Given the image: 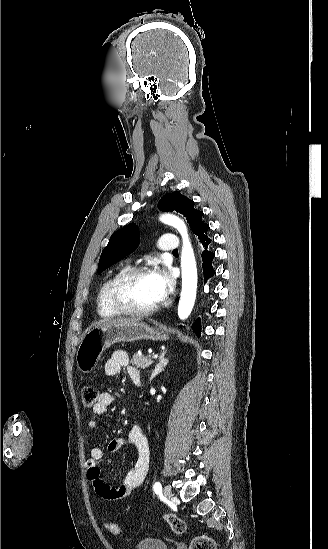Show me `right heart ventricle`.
<instances>
[{"label":"right heart ventricle","instance_id":"1","mask_svg":"<svg viewBox=\"0 0 328 549\" xmlns=\"http://www.w3.org/2000/svg\"><path fill=\"white\" fill-rule=\"evenodd\" d=\"M133 264L131 259L123 260L117 267L115 273L109 277L101 286L96 299V312L100 319L104 321H111V319H121V316L113 315L107 310V300H106V291L110 282L123 270L130 267Z\"/></svg>","mask_w":328,"mask_h":549}]
</instances>
